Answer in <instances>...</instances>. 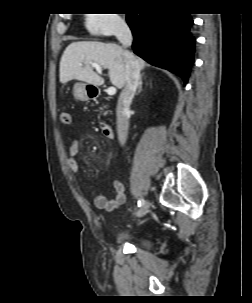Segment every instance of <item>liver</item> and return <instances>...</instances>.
<instances>
[{
  "label": "liver",
  "mask_w": 252,
  "mask_h": 303,
  "mask_svg": "<svg viewBox=\"0 0 252 303\" xmlns=\"http://www.w3.org/2000/svg\"><path fill=\"white\" fill-rule=\"evenodd\" d=\"M134 58L139 68L144 69L145 61L136 56ZM91 63L108 69L111 83L119 89L124 87L126 77L124 50L116 44L97 41H78L68 45L60 61V82L65 84L75 79L94 86L102 85L104 80L94 72Z\"/></svg>",
  "instance_id": "1"
}]
</instances>
